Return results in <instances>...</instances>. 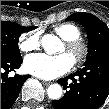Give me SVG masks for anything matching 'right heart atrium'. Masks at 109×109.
Listing matches in <instances>:
<instances>
[{"label": "right heart atrium", "mask_w": 109, "mask_h": 109, "mask_svg": "<svg viewBox=\"0 0 109 109\" xmlns=\"http://www.w3.org/2000/svg\"><path fill=\"white\" fill-rule=\"evenodd\" d=\"M40 35L37 32L23 33L19 37L18 47L20 51L27 53L36 50L40 46Z\"/></svg>", "instance_id": "d8ad5b80"}]
</instances>
